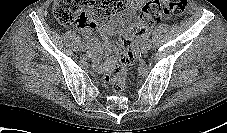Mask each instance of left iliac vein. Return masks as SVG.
I'll return each mask as SVG.
<instances>
[{
    "instance_id": "obj_1",
    "label": "left iliac vein",
    "mask_w": 227,
    "mask_h": 133,
    "mask_svg": "<svg viewBox=\"0 0 227 133\" xmlns=\"http://www.w3.org/2000/svg\"><path fill=\"white\" fill-rule=\"evenodd\" d=\"M150 47H151L150 41L147 40L140 48L141 53L146 54L150 49Z\"/></svg>"
}]
</instances>
